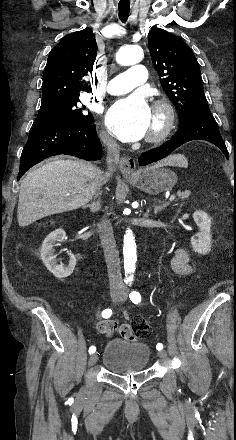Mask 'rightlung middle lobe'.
<instances>
[{"label":"right lung middle lobe","mask_w":236,"mask_h":440,"mask_svg":"<svg viewBox=\"0 0 236 440\" xmlns=\"http://www.w3.org/2000/svg\"><path fill=\"white\" fill-rule=\"evenodd\" d=\"M80 100L73 98L67 101L42 105L39 109L37 118L48 117L62 119L76 123H93L92 114H84L85 106H77Z\"/></svg>","instance_id":"right-lung-middle-lobe-1"}]
</instances>
